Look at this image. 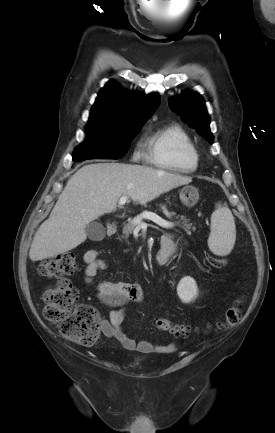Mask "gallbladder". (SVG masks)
<instances>
[{
    "instance_id": "gallbladder-1",
    "label": "gallbladder",
    "mask_w": 275,
    "mask_h": 433,
    "mask_svg": "<svg viewBox=\"0 0 275 433\" xmlns=\"http://www.w3.org/2000/svg\"><path fill=\"white\" fill-rule=\"evenodd\" d=\"M86 234L90 240L99 241L105 237V228L99 222H91L86 228Z\"/></svg>"
}]
</instances>
